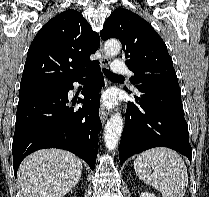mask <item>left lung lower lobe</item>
I'll list each match as a JSON object with an SVG mask.
<instances>
[{
    "mask_svg": "<svg viewBox=\"0 0 209 197\" xmlns=\"http://www.w3.org/2000/svg\"><path fill=\"white\" fill-rule=\"evenodd\" d=\"M137 105L128 103L122 133L120 164L130 156L153 147H168L192 158L181 90L175 86L143 85L137 88Z\"/></svg>",
    "mask_w": 209,
    "mask_h": 197,
    "instance_id": "obj_1",
    "label": "left lung lower lobe"
}]
</instances>
